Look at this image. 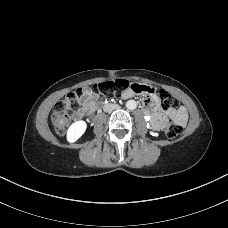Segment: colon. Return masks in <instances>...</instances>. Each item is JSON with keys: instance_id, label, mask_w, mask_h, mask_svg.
Here are the masks:
<instances>
[{"instance_id": "1", "label": "colon", "mask_w": 228, "mask_h": 228, "mask_svg": "<svg viewBox=\"0 0 228 228\" xmlns=\"http://www.w3.org/2000/svg\"><path fill=\"white\" fill-rule=\"evenodd\" d=\"M108 88L131 89L135 94L147 98L153 93L149 86L139 83H130L127 79H116L95 84L90 90L101 92ZM88 88H78L65 96L62 103L57 106L52 114V121L57 133H63L70 121V110L79 106L88 92ZM160 106L163 110H173L178 107L179 102L175 96L165 90L159 91ZM170 139H176L182 132V127L174 120L170 119L164 130Z\"/></svg>"}]
</instances>
